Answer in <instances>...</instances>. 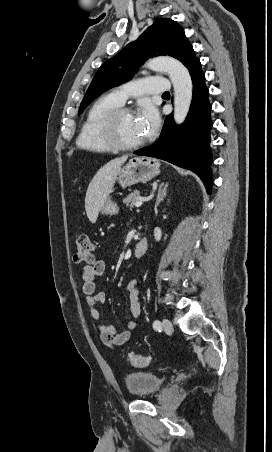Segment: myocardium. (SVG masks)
Here are the masks:
<instances>
[{
	"label": "myocardium",
	"instance_id": "1",
	"mask_svg": "<svg viewBox=\"0 0 272 452\" xmlns=\"http://www.w3.org/2000/svg\"><path fill=\"white\" fill-rule=\"evenodd\" d=\"M124 114H133L128 107L119 106L110 110L101 121V132L106 143L114 150H132L139 148L145 143L141 139L134 143H127L122 141L118 136V121Z\"/></svg>",
	"mask_w": 272,
	"mask_h": 452
}]
</instances>
